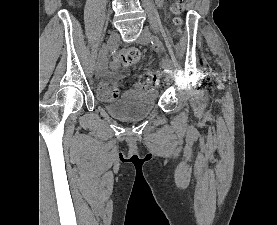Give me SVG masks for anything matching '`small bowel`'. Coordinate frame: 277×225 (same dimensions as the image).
<instances>
[{"mask_svg":"<svg viewBox=\"0 0 277 225\" xmlns=\"http://www.w3.org/2000/svg\"><path fill=\"white\" fill-rule=\"evenodd\" d=\"M157 2H158L159 5H162V4H163V0H157ZM118 67H119V66L113 65V68H114L115 70H117ZM98 74H99L101 77H107V76H108V73H107V71H106L105 65H103V66H101V67L99 68ZM122 76H123L122 73H118V75H117L118 78H121Z\"/></svg>","mask_w":277,"mask_h":225,"instance_id":"small-bowel-1","label":"small bowel"}]
</instances>
